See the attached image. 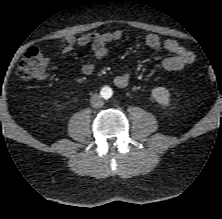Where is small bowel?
Listing matches in <instances>:
<instances>
[{
	"label": "small bowel",
	"instance_id": "1",
	"mask_svg": "<svg viewBox=\"0 0 222 219\" xmlns=\"http://www.w3.org/2000/svg\"><path fill=\"white\" fill-rule=\"evenodd\" d=\"M123 34L120 30L98 32L92 31L82 36H66L61 41L62 50L70 52L76 46H90L92 52L97 60L103 59L108 53V44L118 41ZM146 45L154 51H165L170 55L166 57L162 66L169 71H179L190 65L195 61V55L185 46L173 39H166L162 41L155 33H149L145 37ZM82 73L84 75H91L95 71V63L88 61L82 66ZM131 80V73L125 72L117 75L114 78V84L119 88L127 87Z\"/></svg>",
	"mask_w": 222,
	"mask_h": 219
}]
</instances>
